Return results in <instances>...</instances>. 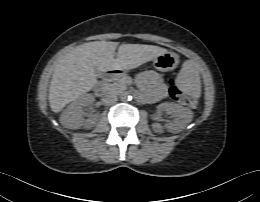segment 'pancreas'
<instances>
[{"instance_id": "pancreas-1", "label": "pancreas", "mask_w": 260, "mask_h": 202, "mask_svg": "<svg viewBox=\"0 0 260 202\" xmlns=\"http://www.w3.org/2000/svg\"><path fill=\"white\" fill-rule=\"evenodd\" d=\"M127 77L124 76L113 83H105V88L108 92L119 93L126 89Z\"/></svg>"}]
</instances>
